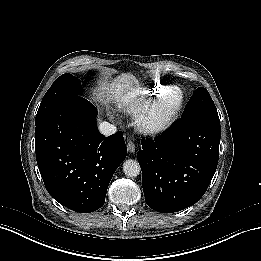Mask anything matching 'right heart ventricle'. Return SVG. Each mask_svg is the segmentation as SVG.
Here are the masks:
<instances>
[{
	"instance_id": "right-heart-ventricle-1",
	"label": "right heart ventricle",
	"mask_w": 261,
	"mask_h": 261,
	"mask_svg": "<svg viewBox=\"0 0 261 261\" xmlns=\"http://www.w3.org/2000/svg\"><path fill=\"white\" fill-rule=\"evenodd\" d=\"M124 106H125L126 110L131 113H135L137 111V107L135 105H133V103L129 100L126 101Z\"/></svg>"
}]
</instances>
